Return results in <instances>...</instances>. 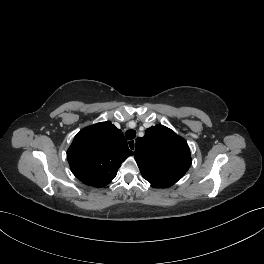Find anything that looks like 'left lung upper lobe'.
Returning a JSON list of instances; mask_svg holds the SVG:
<instances>
[{"label":"left lung upper lobe","mask_w":264,"mask_h":264,"mask_svg":"<svg viewBox=\"0 0 264 264\" xmlns=\"http://www.w3.org/2000/svg\"><path fill=\"white\" fill-rule=\"evenodd\" d=\"M135 160L142 176L177 182L191 165L187 142L171 129L156 125L136 139Z\"/></svg>","instance_id":"1"}]
</instances>
